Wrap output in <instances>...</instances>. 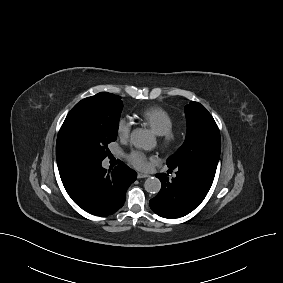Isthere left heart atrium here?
Wrapping results in <instances>:
<instances>
[{
	"instance_id": "left-heart-atrium-1",
	"label": "left heart atrium",
	"mask_w": 283,
	"mask_h": 283,
	"mask_svg": "<svg viewBox=\"0 0 283 283\" xmlns=\"http://www.w3.org/2000/svg\"><path fill=\"white\" fill-rule=\"evenodd\" d=\"M128 161L138 169H147L149 167V157L141 150L135 149L127 154Z\"/></svg>"
}]
</instances>
